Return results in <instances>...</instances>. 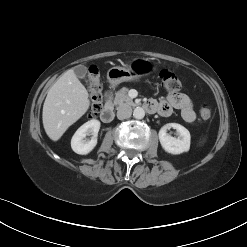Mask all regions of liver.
Here are the masks:
<instances>
[{
    "label": "liver",
    "mask_w": 247,
    "mask_h": 247,
    "mask_svg": "<svg viewBox=\"0 0 247 247\" xmlns=\"http://www.w3.org/2000/svg\"><path fill=\"white\" fill-rule=\"evenodd\" d=\"M88 96L73 69L59 77L49 89L43 105V126L51 140H59L87 112L90 106Z\"/></svg>",
    "instance_id": "1"
}]
</instances>
